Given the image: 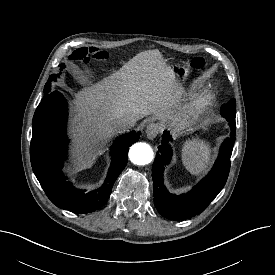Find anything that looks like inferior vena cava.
I'll return each instance as SVG.
<instances>
[{"label": "inferior vena cava", "instance_id": "inferior-vena-cava-1", "mask_svg": "<svg viewBox=\"0 0 275 275\" xmlns=\"http://www.w3.org/2000/svg\"><path fill=\"white\" fill-rule=\"evenodd\" d=\"M136 120H137L136 117L131 115H126L117 120V128L120 130L131 129L135 126Z\"/></svg>", "mask_w": 275, "mask_h": 275}]
</instances>
